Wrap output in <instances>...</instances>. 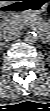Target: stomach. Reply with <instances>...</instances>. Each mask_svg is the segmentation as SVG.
Segmentation results:
<instances>
[{"mask_svg": "<svg viewBox=\"0 0 50 111\" xmlns=\"http://www.w3.org/2000/svg\"><path fill=\"white\" fill-rule=\"evenodd\" d=\"M49 5V0H24L23 9L28 13L44 12Z\"/></svg>", "mask_w": 50, "mask_h": 111, "instance_id": "obj_1", "label": "stomach"}]
</instances>
